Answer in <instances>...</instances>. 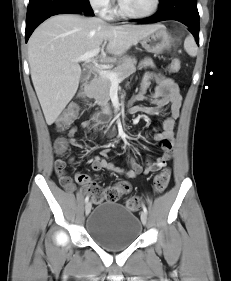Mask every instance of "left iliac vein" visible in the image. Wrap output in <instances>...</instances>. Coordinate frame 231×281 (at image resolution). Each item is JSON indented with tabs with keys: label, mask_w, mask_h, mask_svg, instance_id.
<instances>
[{
	"label": "left iliac vein",
	"mask_w": 231,
	"mask_h": 281,
	"mask_svg": "<svg viewBox=\"0 0 231 281\" xmlns=\"http://www.w3.org/2000/svg\"><path fill=\"white\" fill-rule=\"evenodd\" d=\"M140 217H141V221H142L143 225H146L147 224V215L144 211L141 212Z\"/></svg>",
	"instance_id": "obj_1"
}]
</instances>
